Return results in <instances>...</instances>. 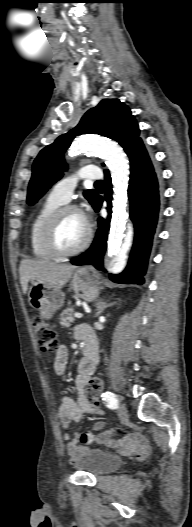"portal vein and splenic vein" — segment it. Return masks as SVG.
I'll list each match as a JSON object with an SVG mask.
<instances>
[{"instance_id": "1", "label": "portal vein and splenic vein", "mask_w": 192, "mask_h": 527, "mask_svg": "<svg viewBox=\"0 0 192 527\" xmlns=\"http://www.w3.org/2000/svg\"><path fill=\"white\" fill-rule=\"evenodd\" d=\"M74 317H76V318H81V317H83V314H82V313H75V314H74Z\"/></svg>"}]
</instances>
